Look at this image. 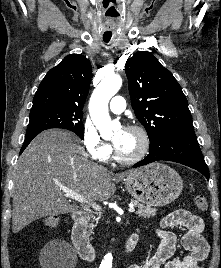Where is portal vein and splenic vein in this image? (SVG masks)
Segmentation results:
<instances>
[{"mask_svg":"<svg viewBox=\"0 0 221 268\" xmlns=\"http://www.w3.org/2000/svg\"><path fill=\"white\" fill-rule=\"evenodd\" d=\"M60 189L65 193L64 196L65 197H68V198H71V199H74L80 203H86L87 201L85 200V198L83 196H81L79 193L67 188V187H64L62 185H59ZM92 207L95 209V210H101V207L99 205H96V204H92ZM129 212L132 213V212H135V208L133 207V205H130L129 206Z\"/></svg>","mask_w":221,"mask_h":268,"instance_id":"18ae733b","label":"portal vein and splenic vein"}]
</instances>
